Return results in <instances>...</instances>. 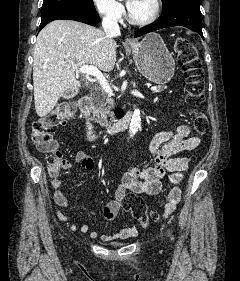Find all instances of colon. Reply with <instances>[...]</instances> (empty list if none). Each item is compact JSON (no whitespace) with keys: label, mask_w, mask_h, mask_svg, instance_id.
Returning <instances> with one entry per match:
<instances>
[{"label":"colon","mask_w":240,"mask_h":281,"mask_svg":"<svg viewBox=\"0 0 240 281\" xmlns=\"http://www.w3.org/2000/svg\"><path fill=\"white\" fill-rule=\"evenodd\" d=\"M175 52L185 78L186 102L191 107H198L204 99V72L197 50L190 39L178 37L175 41ZM75 108V104L72 102H60L49 114L33 123L32 140L36 148L46 155L51 173H58L62 160L53 130L65 124L73 116ZM193 125L197 134H204L208 128L206 115L195 110ZM122 208L142 226H147L150 220L157 219L156 211L148 215L143 199L134 194L125 196Z\"/></svg>","instance_id":"obj_1"}]
</instances>
